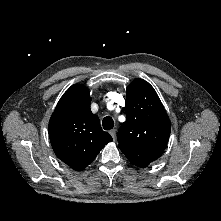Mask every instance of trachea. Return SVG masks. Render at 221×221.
Wrapping results in <instances>:
<instances>
[{"label": "trachea", "instance_id": "3493384b", "mask_svg": "<svg viewBox=\"0 0 221 221\" xmlns=\"http://www.w3.org/2000/svg\"><path fill=\"white\" fill-rule=\"evenodd\" d=\"M102 125L104 130H110L114 127V121L110 116H106L102 121Z\"/></svg>", "mask_w": 221, "mask_h": 221}]
</instances>
